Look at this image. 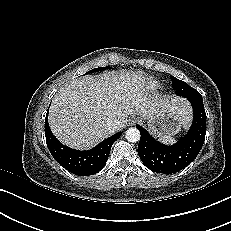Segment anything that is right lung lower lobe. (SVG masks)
I'll return each mask as SVG.
<instances>
[{"label": "right lung lower lobe", "mask_w": 231, "mask_h": 231, "mask_svg": "<svg viewBox=\"0 0 231 231\" xmlns=\"http://www.w3.org/2000/svg\"><path fill=\"white\" fill-rule=\"evenodd\" d=\"M121 135L122 132H119L103 140L91 150H74L64 146L56 139L48 124V112L46 114L45 137L50 153L61 166L78 176H88L99 172L108 160L112 144Z\"/></svg>", "instance_id": "1"}]
</instances>
